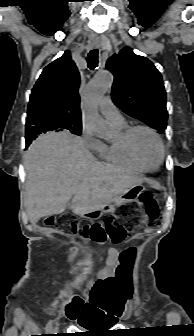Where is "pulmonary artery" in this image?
Returning a JSON list of instances; mask_svg holds the SVG:
<instances>
[{
  "label": "pulmonary artery",
  "instance_id": "pulmonary-artery-1",
  "mask_svg": "<svg viewBox=\"0 0 194 336\" xmlns=\"http://www.w3.org/2000/svg\"><path fill=\"white\" fill-rule=\"evenodd\" d=\"M101 113L112 123L122 124L124 119L116 106L112 103L110 96H105L100 102Z\"/></svg>",
  "mask_w": 194,
  "mask_h": 336
}]
</instances>
